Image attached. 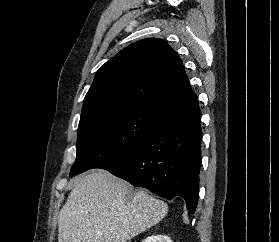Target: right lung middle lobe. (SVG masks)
Masks as SVG:
<instances>
[{
	"instance_id": "right-lung-middle-lobe-1",
	"label": "right lung middle lobe",
	"mask_w": 279,
	"mask_h": 242,
	"mask_svg": "<svg viewBox=\"0 0 279 242\" xmlns=\"http://www.w3.org/2000/svg\"><path fill=\"white\" fill-rule=\"evenodd\" d=\"M158 119V113L144 110H111L81 117L70 177L100 168L131 149L152 132Z\"/></svg>"
}]
</instances>
